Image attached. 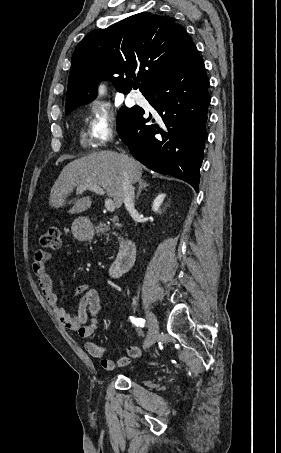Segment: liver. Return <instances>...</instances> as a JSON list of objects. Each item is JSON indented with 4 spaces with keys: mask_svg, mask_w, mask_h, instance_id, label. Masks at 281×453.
<instances>
[{
    "mask_svg": "<svg viewBox=\"0 0 281 453\" xmlns=\"http://www.w3.org/2000/svg\"><path fill=\"white\" fill-rule=\"evenodd\" d=\"M123 170H126L131 184L141 180L143 166L132 156H128L127 160H122L119 152L99 150V152H90L81 158H76V160L68 162L61 170L51 188L49 204L55 208L63 206L66 204L68 194L73 192L77 186L97 184V186L105 188L108 196L114 198L115 206L120 208L124 200ZM74 200L72 208L68 210L71 214L83 212L92 204L91 196L74 198ZM71 202L72 200H69L68 204Z\"/></svg>",
    "mask_w": 281,
    "mask_h": 453,
    "instance_id": "liver-1",
    "label": "liver"
}]
</instances>
